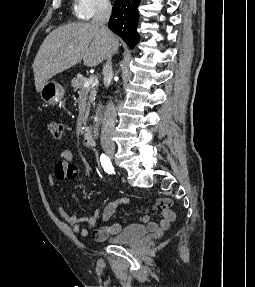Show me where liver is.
<instances>
[{
  "label": "liver",
  "mask_w": 255,
  "mask_h": 287,
  "mask_svg": "<svg viewBox=\"0 0 255 287\" xmlns=\"http://www.w3.org/2000/svg\"><path fill=\"white\" fill-rule=\"evenodd\" d=\"M118 48V38L114 34L104 38L98 24L71 22L60 26L48 34L33 62L36 92H40L52 76L69 70L81 60L93 68L105 60V52L111 58Z\"/></svg>",
  "instance_id": "1"
}]
</instances>
